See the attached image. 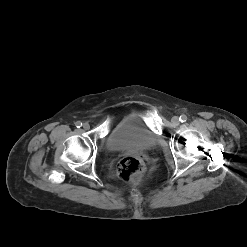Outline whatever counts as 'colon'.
<instances>
[{"label":"colon","instance_id":"1","mask_svg":"<svg viewBox=\"0 0 247 247\" xmlns=\"http://www.w3.org/2000/svg\"><path fill=\"white\" fill-rule=\"evenodd\" d=\"M117 171L123 180L138 178L144 171V163L137 156H126L119 162Z\"/></svg>","mask_w":247,"mask_h":247}]
</instances>
